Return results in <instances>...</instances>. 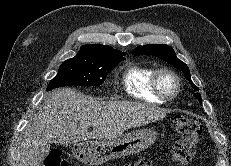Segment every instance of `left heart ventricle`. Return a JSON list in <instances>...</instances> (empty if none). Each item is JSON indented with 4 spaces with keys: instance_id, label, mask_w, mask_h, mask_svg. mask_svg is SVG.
<instances>
[{
    "instance_id": "obj_1",
    "label": "left heart ventricle",
    "mask_w": 231,
    "mask_h": 166,
    "mask_svg": "<svg viewBox=\"0 0 231 166\" xmlns=\"http://www.w3.org/2000/svg\"><path fill=\"white\" fill-rule=\"evenodd\" d=\"M160 84L167 94H172L174 92L175 82L169 75H163L160 79Z\"/></svg>"
}]
</instances>
